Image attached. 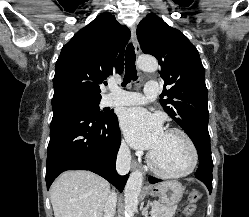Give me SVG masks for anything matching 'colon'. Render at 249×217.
Masks as SVG:
<instances>
[{"mask_svg": "<svg viewBox=\"0 0 249 217\" xmlns=\"http://www.w3.org/2000/svg\"><path fill=\"white\" fill-rule=\"evenodd\" d=\"M200 198V193L196 190H192L189 194V204L184 209V214L186 217H190L196 210V202Z\"/></svg>", "mask_w": 249, "mask_h": 217, "instance_id": "obj_1", "label": "colon"}]
</instances>
